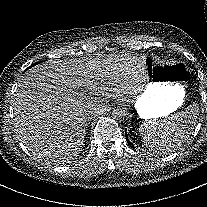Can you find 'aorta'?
Returning <instances> with one entry per match:
<instances>
[{"label":"aorta","instance_id":"762f6f07","mask_svg":"<svg viewBox=\"0 0 207 207\" xmlns=\"http://www.w3.org/2000/svg\"><path fill=\"white\" fill-rule=\"evenodd\" d=\"M129 110L125 106H118L112 111V116L116 121H126L129 118Z\"/></svg>","mask_w":207,"mask_h":207}]
</instances>
